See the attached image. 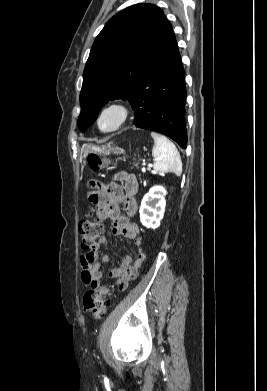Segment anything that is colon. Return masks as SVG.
<instances>
[{"label":"colon","mask_w":267,"mask_h":391,"mask_svg":"<svg viewBox=\"0 0 267 391\" xmlns=\"http://www.w3.org/2000/svg\"><path fill=\"white\" fill-rule=\"evenodd\" d=\"M88 165L92 171L97 172L104 168L106 161L97 154L88 156ZM104 229L102 219L93 218L89 215L83 217L79 223V233L81 235V246L86 252L91 251ZM83 305L86 312L98 319L105 315L111 306L110 290L106 286L87 291L83 298Z\"/></svg>","instance_id":"colon-1"}]
</instances>
